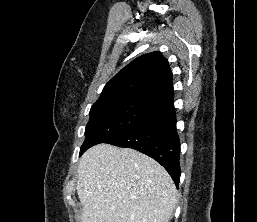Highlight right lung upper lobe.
I'll return each instance as SVG.
<instances>
[{
  "label": "right lung upper lobe",
  "instance_id": "cb5924a9",
  "mask_svg": "<svg viewBox=\"0 0 257 222\" xmlns=\"http://www.w3.org/2000/svg\"><path fill=\"white\" fill-rule=\"evenodd\" d=\"M125 99H144L162 108L173 103L172 72L160 52L133 60L105 85L98 100Z\"/></svg>",
  "mask_w": 257,
  "mask_h": 222
}]
</instances>
